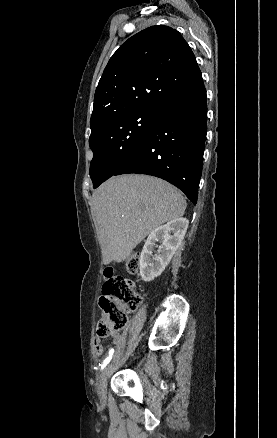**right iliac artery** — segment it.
I'll return each instance as SVG.
<instances>
[{
  "instance_id": "1",
  "label": "right iliac artery",
  "mask_w": 277,
  "mask_h": 438,
  "mask_svg": "<svg viewBox=\"0 0 277 438\" xmlns=\"http://www.w3.org/2000/svg\"><path fill=\"white\" fill-rule=\"evenodd\" d=\"M114 354V349L112 348L109 353L108 356L105 358V360L103 361V364L101 366V369H104V367L110 362V360L112 359V356Z\"/></svg>"
}]
</instances>
